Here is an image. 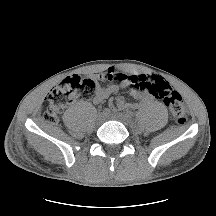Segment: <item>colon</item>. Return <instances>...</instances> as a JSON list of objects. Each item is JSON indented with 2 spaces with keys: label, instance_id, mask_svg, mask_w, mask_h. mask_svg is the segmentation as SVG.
I'll list each match as a JSON object with an SVG mask.
<instances>
[{
  "label": "colon",
  "instance_id": "colon-1",
  "mask_svg": "<svg viewBox=\"0 0 216 216\" xmlns=\"http://www.w3.org/2000/svg\"><path fill=\"white\" fill-rule=\"evenodd\" d=\"M150 92L163 100L169 108L175 121L182 125L186 122V105L181 94L173 89L166 81H154L144 84ZM98 91V84L91 78L72 75L66 77L48 95L47 110L44 119L55 123L59 114L78 100H88Z\"/></svg>",
  "mask_w": 216,
  "mask_h": 216
}]
</instances>
